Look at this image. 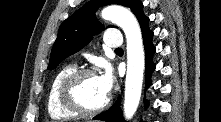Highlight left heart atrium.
<instances>
[{
    "instance_id": "1",
    "label": "left heart atrium",
    "mask_w": 221,
    "mask_h": 122,
    "mask_svg": "<svg viewBox=\"0 0 221 122\" xmlns=\"http://www.w3.org/2000/svg\"><path fill=\"white\" fill-rule=\"evenodd\" d=\"M100 86L103 92L107 95L113 85V75L109 68H105L104 72L98 76Z\"/></svg>"
}]
</instances>
